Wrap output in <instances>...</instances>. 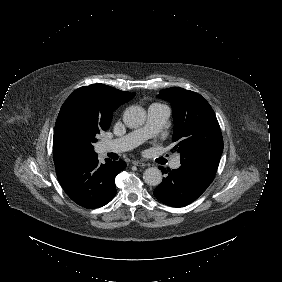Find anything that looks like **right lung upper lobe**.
<instances>
[{"instance_id":"1","label":"right lung upper lobe","mask_w":282,"mask_h":282,"mask_svg":"<svg viewBox=\"0 0 282 282\" xmlns=\"http://www.w3.org/2000/svg\"><path fill=\"white\" fill-rule=\"evenodd\" d=\"M136 93L124 92L104 84H93L75 90L62 105L54 130L55 167L83 157L64 138V128L74 119L89 116L109 128L112 112L131 100Z\"/></svg>"}]
</instances>
